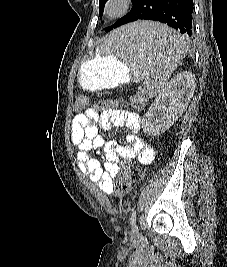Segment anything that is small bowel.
I'll use <instances>...</instances> for the list:
<instances>
[{
	"mask_svg": "<svg viewBox=\"0 0 227 267\" xmlns=\"http://www.w3.org/2000/svg\"><path fill=\"white\" fill-rule=\"evenodd\" d=\"M113 127L131 131L125 138L126 144L105 142L99 135V129L109 130ZM140 130L139 114L128 109H108L103 112L88 109L77 114L71 124V140L77 147L76 161L81 172L103 192L112 193L114 173H120V169L130 171L135 164L148 165L154 159L153 148L137 135ZM90 151L100 154L103 164L91 157Z\"/></svg>",
	"mask_w": 227,
	"mask_h": 267,
	"instance_id": "small-bowel-1",
	"label": "small bowel"
}]
</instances>
